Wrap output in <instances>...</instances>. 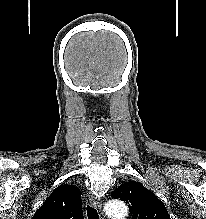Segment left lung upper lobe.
Returning a JSON list of instances; mask_svg holds the SVG:
<instances>
[{
    "instance_id": "left-lung-upper-lobe-1",
    "label": "left lung upper lobe",
    "mask_w": 206,
    "mask_h": 219,
    "mask_svg": "<svg viewBox=\"0 0 206 219\" xmlns=\"http://www.w3.org/2000/svg\"><path fill=\"white\" fill-rule=\"evenodd\" d=\"M111 196L129 205L132 219H170L163 202L139 182H126L115 189Z\"/></svg>"
}]
</instances>
